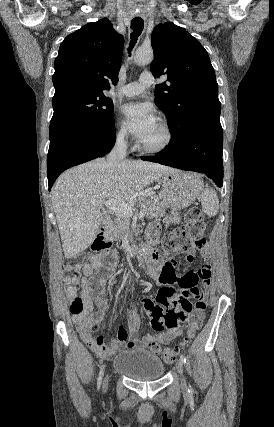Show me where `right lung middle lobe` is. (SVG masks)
Returning <instances> with one entry per match:
<instances>
[{
    "label": "right lung middle lobe",
    "instance_id": "dd1d6c3e",
    "mask_svg": "<svg viewBox=\"0 0 274 427\" xmlns=\"http://www.w3.org/2000/svg\"><path fill=\"white\" fill-rule=\"evenodd\" d=\"M50 141L63 129L113 122V103L103 93L67 94L53 102Z\"/></svg>",
    "mask_w": 274,
    "mask_h": 427
}]
</instances>
